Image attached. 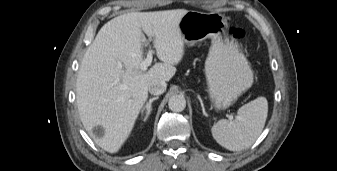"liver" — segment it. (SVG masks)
Segmentation results:
<instances>
[{"label":"liver","mask_w":337,"mask_h":171,"mask_svg":"<svg viewBox=\"0 0 337 171\" xmlns=\"http://www.w3.org/2000/svg\"><path fill=\"white\" fill-rule=\"evenodd\" d=\"M186 9L131 12L108 21L97 33L81 62L76 101L80 119L92 134L96 126L104 135L96 139L107 152L119 151L127 140L148 98L153 80L169 81L184 55L179 29ZM142 31L153 39L157 57L143 71ZM121 65V66H120Z\"/></svg>","instance_id":"1"}]
</instances>
